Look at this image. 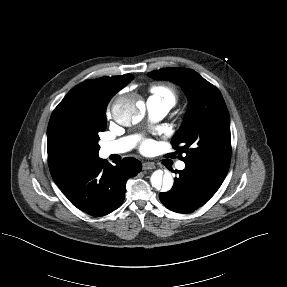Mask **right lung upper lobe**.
Here are the masks:
<instances>
[{
	"label": "right lung upper lobe",
	"instance_id": "right-lung-upper-lobe-1",
	"mask_svg": "<svg viewBox=\"0 0 287 287\" xmlns=\"http://www.w3.org/2000/svg\"><path fill=\"white\" fill-rule=\"evenodd\" d=\"M133 78V75L125 74L82 82L71 89L53 111L47 129L48 165L52 178L61 191L66 190L96 158L79 155L66 145V131L71 120L85 104L95 102L106 110L112 96Z\"/></svg>",
	"mask_w": 287,
	"mask_h": 287
}]
</instances>
